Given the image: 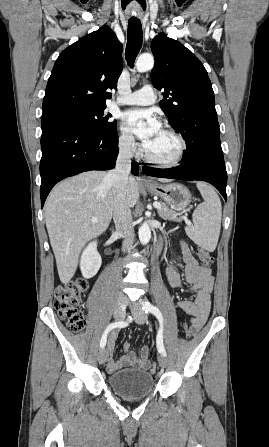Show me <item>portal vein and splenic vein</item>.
I'll return each mask as SVG.
<instances>
[{"instance_id": "obj_1", "label": "portal vein and splenic vein", "mask_w": 269, "mask_h": 447, "mask_svg": "<svg viewBox=\"0 0 269 447\" xmlns=\"http://www.w3.org/2000/svg\"><path fill=\"white\" fill-rule=\"evenodd\" d=\"M153 206L154 208H157V210H162V206L161 204H159V202H153ZM185 224H191V222H189V220H187V216H182ZM92 222H94V224H97L98 220H92Z\"/></svg>"}]
</instances>
